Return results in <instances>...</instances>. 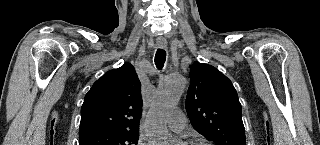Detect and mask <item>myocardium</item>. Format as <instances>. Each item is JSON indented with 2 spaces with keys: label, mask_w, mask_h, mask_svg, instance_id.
<instances>
[{
  "label": "myocardium",
  "mask_w": 320,
  "mask_h": 145,
  "mask_svg": "<svg viewBox=\"0 0 320 145\" xmlns=\"http://www.w3.org/2000/svg\"><path fill=\"white\" fill-rule=\"evenodd\" d=\"M184 145H209L203 140H189L184 143Z\"/></svg>",
  "instance_id": "1"
}]
</instances>
